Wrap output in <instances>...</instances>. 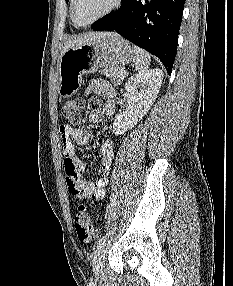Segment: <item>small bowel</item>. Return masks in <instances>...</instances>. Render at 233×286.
Listing matches in <instances>:
<instances>
[{"instance_id":"1","label":"small bowel","mask_w":233,"mask_h":286,"mask_svg":"<svg viewBox=\"0 0 233 286\" xmlns=\"http://www.w3.org/2000/svg\"><path fill=\"white\" fill-rule=\"evenodd\" d=\"M87 96H99L104 100L102 107L95 108L90 112L91 122H100L115 111V89L107 82L94 79L87 89ZM64 159V170L69 192L83 200H100L105 194L108 183L110 166L113 161L114 150L111 140L105 139L100 147V176L95 181H86L81 177V172L86 169V162L76 152V145H85L93 139L90 130L72 127L70 125L60 126Z\"/></svg>"}]
</instances>
